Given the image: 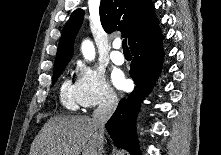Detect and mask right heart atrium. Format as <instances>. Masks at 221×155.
Masks as SVG:
<instances>
[{
  "instance_id": "d8ad5b80",
  "label": "right heart atrium",
  "mask_w": 221,
  "mask_h": 155,
  "mask_svg": "<svg viewBox=\"0 0 221 155\" xmlns=\"http://www.w3.org/2000/svg\"><path fill=\"white\" fill-rule=\"evenodd\" d=\"M76 69L75 84L82 108L110 107L117 103V95L101 69L84 63H78Z\"/></svg>"
}]
</instances>
